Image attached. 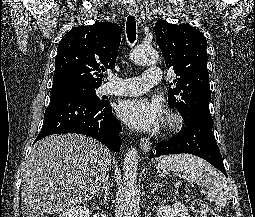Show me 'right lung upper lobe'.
<instances>
[{
	"instance_id": "obj_1",
	"label": "right lung upper lobe",
	"mask_w": 255,
	"mask_h": 217,
	"mask_svg": "<svg viewBox=\"0 0 255 217\" xmlns=\"http://www.w3.org/2000/svg\"><path fill=\"white\" fill-rule=\"evenodd\" d=\"M121 41V27L112 22L78 26L57 47L52 87L77 84L99 87L105 69H113Z\"/></svg>"
}]
</instances>
